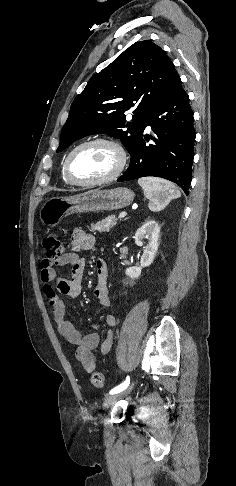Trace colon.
Returning <instances> with one entry per match:
<instances>
[{
	"label": "colon",
	"mask_w": 236,
	"mask_h": 486,
	"mask_svg": "<svg viewBox=\"0 0 236 486\" xmlns=\"http://www.w3.org/2000/svg\"><path fill=\"white\" fill-rule=\"evenodd\" d=\"M43 247L46 252L47 260L52 262L57 261L63 255L65 250L63 240L55 234H49L44 237ZM91 382L94 387L99 389H102L105 386L103 374L99 371L92 374Z\"/></svg>",
	"instance_id": "colon-1"
}]
</instances>
